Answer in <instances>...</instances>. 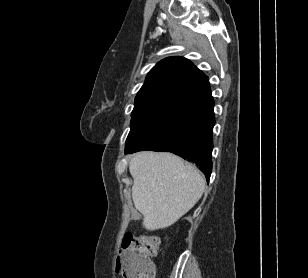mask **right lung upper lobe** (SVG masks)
I'll return each mask as SVG.
<instances>
[{"instance_id": "cb5924a9", "label": "right lung upper lobe", "mask_w": 308, "mask_h": 278, "mask_svg": "<svg viewBox=\"0 0 308 278\" xmlns=\"http://www.w3.org/2000/svg\"><path fill=\"white\" fill-rule=\"evenodd\" d=\"M211 95L208 77L188 59L169 57L157 63L135 98L131 116L179 115Z\"/></svg>"}]
</instances>
